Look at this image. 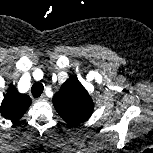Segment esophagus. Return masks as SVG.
<instances>
[{
  "label": "esophagus",
  "instance_id": "obj_1",
  "mask_svg": "<svg viewBox=\"0 0 153 153\" xmlns=\"http://www.w3.org/2000/svg\"><path fill=\"white\" fill-rule=\"evenodd\" d=\"M47 100V97L45 95H41L39 98H38V101H46Z\"/></svg>",
  "mask_w": 153,
  "mask_h": 153
}]
</instances>
